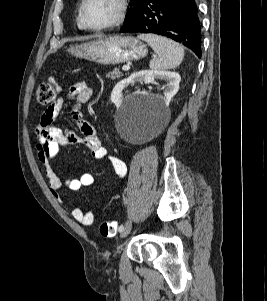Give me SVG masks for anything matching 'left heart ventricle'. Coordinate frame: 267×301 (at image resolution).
<instances>
[{"label":"left heart ventricle","instance_id":"obj_1","mask_svg":"<svg viewBox=\"0 0 267 301\" xmlns=\"http://www.w3.org/2000/svg\"><path fill=\"white\" fill-rule=\"evenodd\" d=\"M117 11V0H88L85 6V19L90 25H102L112 21Z\"/></svg>","mask_w":267,"mask_h":301}]
</instances>
